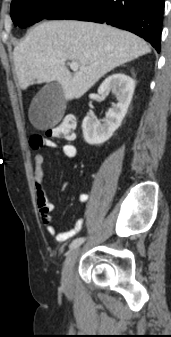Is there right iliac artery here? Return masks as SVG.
I'll return each mask as SVG.
<instances>
[{"instance_id":"1","label":"right iliac artery","mask_w":171,"mask_h":337,"mask_svg":"<svg viewBox=\"0 0 171 337\" xmlns=\"http://www.w3.org/2000/svg\"><path fill=\"white\" fill-rule=\"evenodd\" d=\"M85 238L80 237V238H76L75 240H73L70 244V249H75L77 247H79L83 242H84Z\"/></svg>"}]
</instances>
